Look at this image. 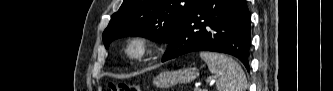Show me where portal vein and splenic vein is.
I'll list each match as a JSON object with an SVG mask.
<instances>
[{"mask_svg": "<svg viewBox=\"0 0 333 91\" xmlns=\"http://www.w3.org/2000/svg\"><path fill=\"white\" fill-rule=\"evenodd\" d=\"M207 82H209V80H207ZM200 87L199 86H195V91H197Z\"/></svg>", "mask_w": 333, "mask_h": 91, "instance_id": "1", "label": "portal vein and splenic vein"}]
</instances>
